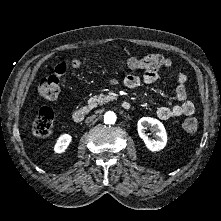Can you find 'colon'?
<instances>
[{"label":"colon","mask_w":221,"mask_h":221,"mask_svg":"<svg viewBox=\"0 0 221 221\" xmlns=\"http://www.w3.org/2000/svg\"><path fill=\"white\" fill-rule=\"evenodd\" d=\"M123 67L130 70H143L157 73L169 65L167 57L160 54H151L143 58L130 57L121 63ZM81 66V62L75 60L72 62V67L77 69ZM65 63L58 64L54 71L43 77L38 86V91L41 96L46 99H55L60 92V79L67 72ZM54 113L50 108H43L33 122V132L39 137H48L53 129ZM182 130L186 134H194L198 129V122L194 117H186L182 121Z\"/></svg>","instance_id":"colon-1"}]
</instances>
